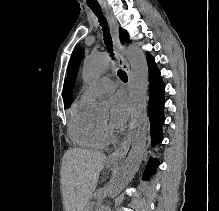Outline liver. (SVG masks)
<instances>
[{
  "instance_id": "liver-1",
  "label": "liver",
  "mask_w": 219,
  "mask_h": 211,
  "mask_svg": "<svg viewBox=\"0 0 219 211\" xmlns=\"http://www.w3.org/2000/svg\"><path fill=\"white\" fill-rule=\"evenodd\" d=\"M63 159L65 209L84 211L108 157L101 151L70 147Z\"/></svg>"
}]
</instances>
